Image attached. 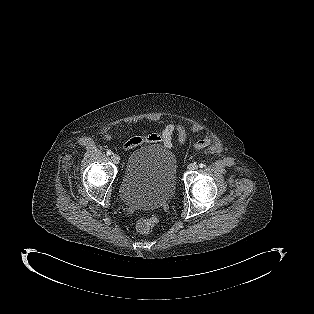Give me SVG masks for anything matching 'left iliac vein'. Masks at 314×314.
<instances>
[{"mask_svg":"<svg viewBox=\"0 0 314 314\" xmlns=\"http://www.w3.org/2000/svg\"><path fill=\"white\" fill-rule=\"evenodd\" d=\"M187 168L189 171H194L198 169V165L196 163H190Z\"/></svg>","mask_w":314,"mask_h":314,"instance_id":"left-iliac-vein-1","label":"left iliac vein"}]
</instances>
